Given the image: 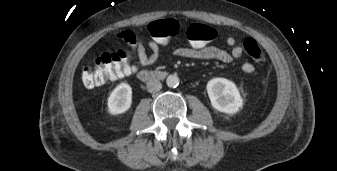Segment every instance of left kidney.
Wrapping results in <instances>:
<instances>
[{"label":"left kidney","instance_id":"5707ae66","mask_svg":"<svg viewBox=\"0 0 337 171\" xmlns=\"http://www.w3.org/2000/svg\"><path fill=\"white\" fill-rule=\"evenodd\" d=\"M207 93L213 108L234 114L243 106V99L234 82L225 78H213L207 83Z\"/></svg>","mask_w":337,"mask_h":171}]
</instances>
